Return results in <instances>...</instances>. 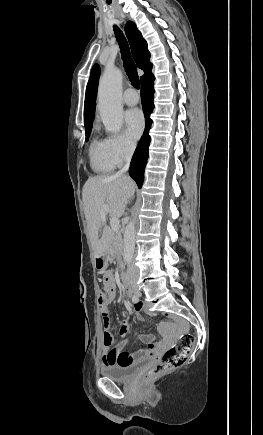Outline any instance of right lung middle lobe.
Wrapping results in <instances>:
<instances>
[{
  "label": "right lung middle lobe",
  "instance_id": "right-lung-middle-lobe-1",
  "mask_svg": "<svg viewBox=\"0 0 263 435\" xmlns=\"http://www.w3.org/2000/svg\"><path fill=\"white\" fill-rule=\"evenodd\" d=\"M90 132H91V130H87V131H85V134H86V140H88V137H89V135H90Z\"/></svg>",
  "mask_w": 263,
  "mask_h": 435
}]
</instances>
